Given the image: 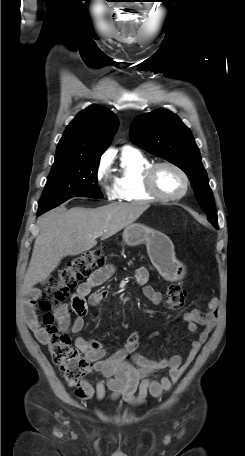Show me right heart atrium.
I'll return each instance as SVG.
<instances>
[{
  "label": "right heart atrium",
  "instance_id": "1",
  "mask_svg": "<svg viewBox=\"0 0 245 456\" xmlns=\"http://www.w3.org/2000/svg\"><path fill=\"white\" fill-rule=\"evenodd\" d=\"M95 178L98 185L109 200H113L118 197V190L115 181L111 179L109 161L106 158H102L100 160L95 172Z\"/></svg>",
  "mask_w": 245,
  "mask_h": 456
}]
</instances>
